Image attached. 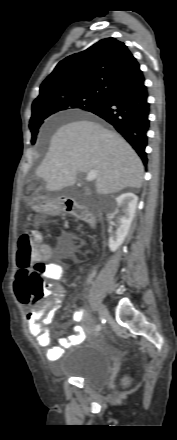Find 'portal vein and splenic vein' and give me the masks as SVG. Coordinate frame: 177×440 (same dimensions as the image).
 Returning <instances> with one entry per match:
<instances>
[{"label": "portal vein and splenic vein", "mask_w": 177, "mask_h": 440, "mask_svg": "<svg viewBox=\"0 0 177 440\" xmlns=\"http://www.w3.org/2000/svg\"><path fill=\"white\" fill-rule=\"evenodd\" d=\"M97 176H98L97 171L96 170H91V171L88 172L86 180L87 181H93V180H95L97 178Z\"/></svg>", "instance_id": "1"}]
</instances>
